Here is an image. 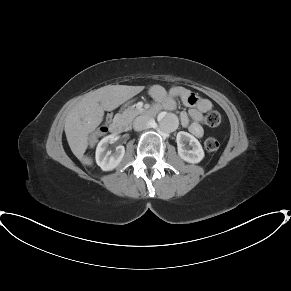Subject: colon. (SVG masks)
I'll use <instances>...</instances> for the list:
<instances>
[{
    "label": "colon",
    "mask_w": 291,
    "mask_h": 291,
    "mask_svg": "<svg viewBox=\"0 0 291 291\" xmlns=\"http://www.w3.org/2000/svg\"><path fill=\"white\" fill-rule=\"evenodd\" d=\"M222 117L217 111H210L205 115V123L210 127L218 126L221 123ZM219 148V142L215 138H208L205 141V149L212 153Z\"/></svg>",
    "instance_id": "5ec220e1"
}]
</instances>
